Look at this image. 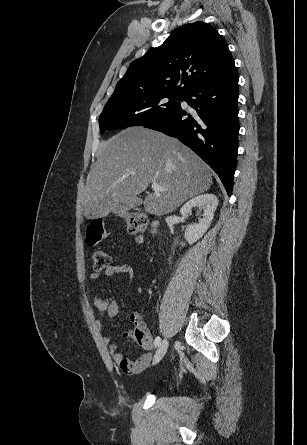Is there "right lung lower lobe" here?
Masks as SVG:
<instances>
[{
	"mask_svg": "<svg viewBox=\"0 0 307 445\" xmlns=\"http://www.w3.org/2000/svg\"><path fill=\"white\" fill-rule=\"evenodd\" d=\"M238 74L235 65L184 95L196 112L179 107L143 125L176 137L199 155L220 177L228 195L238 151ZM188 116V118H184Z\"/></svg>",
	"mask_w": 307,
	"mask_h": 445,
	"instance_id": "obj_1",
	"label": "right lung lower lobe"
}]
</instances>
